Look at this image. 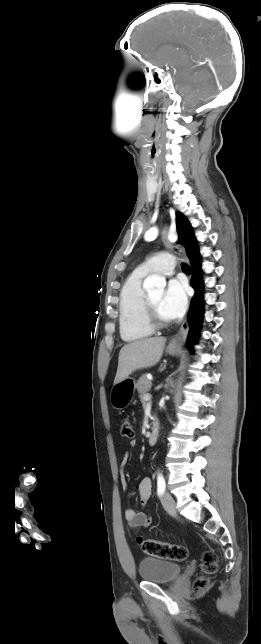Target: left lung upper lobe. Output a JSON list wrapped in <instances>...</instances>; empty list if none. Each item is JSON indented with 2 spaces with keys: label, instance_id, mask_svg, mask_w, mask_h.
Here are the masks:
<instances>
[{
  "label": "left lung upper lobe",
  "instance_id": "1",
  "mask_svg": "<svg viewBox=\"0 0 261 644\" xmlns=\"http://www.w3.org/2000/svg\"><path fill=\"white\" fill-rule=\"evenodd\" d=\"M176 226L179 234V243L186 247L189 259L201 258L197 241L194 238L193 229L187 218L179 212L176 213Z\"/></svg>",
  "mask_w": 261,
  "mask_h": 644
}]
</instances>
